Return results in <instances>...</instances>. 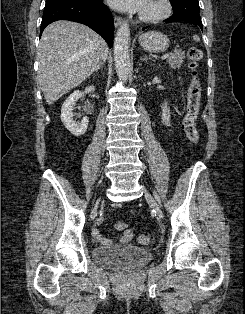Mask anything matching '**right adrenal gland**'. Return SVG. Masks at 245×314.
<instances>
[{"label":"right adrenal gland","instance_id":"2a0ac1e0","mask_svg":"<svg viewBox=\"0 0 245 314\" xmlns=\"http://www.w3.org/2000/svg\"><path fill=\"white\" fill-rule=\"evenodd\" d=\"M102 67H103V63H100V64L96 67L95 72H98V70L101 69Z\"/></svg>","mask_w":245,"mask_h":314}]
</instances>
